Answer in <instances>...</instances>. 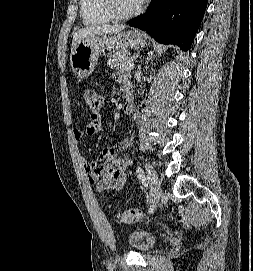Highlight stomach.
Returning <instances> with one entry per match:
<instances>
[{
  "label": "stomach",
  "instance_id": "obj_1",
  "mask_svg": "<svg viewBox=\"0 0 253 271\" xmlns=\"http://www.w3.org/2000/svg\"><path fill=\"white\" fill-rule=\"evenodd\" d=\"M146 45L145 36L138 30L119 32L114 35L88 37L79 41L72 49L70 65L73 73L80 78L89 76L104 49H139Z\"/></svg>",
  "mask_w": 253,
  "mask_h": 271
}]
</instances>
